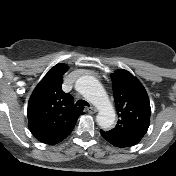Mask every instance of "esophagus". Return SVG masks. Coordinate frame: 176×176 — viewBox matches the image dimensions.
I'll list each match as a JSON object with an SVG mask.
<instances>
[{
	"label": "esophagus",
	"instance_id": "1",
	"mask_svg": "<svg viewBox=\"0 0 176 176\" xmlns=\"http://www.w3.org/2000/svg\"><path fill=\"white\" fill-rule=\"evenodd\" d=\"M87 111H88V113H90V114H94V113L97 112V109L94 108V107H89V108H87Z\"/></svg>",
	"mask_w": 176,
	"mask_h": 176
}]
</instances>
